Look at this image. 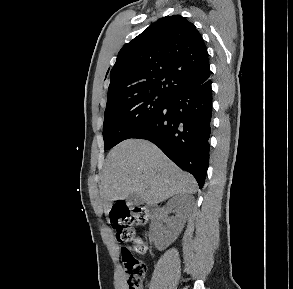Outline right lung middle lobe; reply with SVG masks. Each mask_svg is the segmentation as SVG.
I'll return each mask as SVG.
<instances>
[{
	"mask_svg": "<svg viewBox=\"0 0 293 289\" xmlns=\"http://www.w3.org/2000/svg\"><path fill=\"white\" fill-rule=\"evenodd\" d=\"M167 99L163 94L145 93L107 105L103 124L104 149H110L127 139L159 111Z\"/></svg>",
	"mask_w": 293,
	"mask_h": 289,
	"instance_id": "obj_1",
	"label": "right lung middle lobe"
}]
</instances>
